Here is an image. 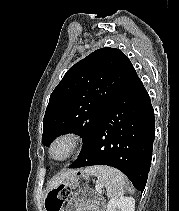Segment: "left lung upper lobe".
Wrapping results in <instances>:
<instances>
[{
    "label": "left lung upper lobe",
    "mask_w": 179,
    "mask_h": 211,
    "mask_svg": "<svg viewBox=\"0 0 179 211\" xmlns=\"http://www.w3.org/2000/svg\"><path fill=\"white\" fill-rule=\"evenodd\" d=\"M132 67L122 51L109 47L98 49L73 65L50 96L42 143L49 146L56 136L77 133L83 137L82 153Z\"/></svg>",
    "instance_id": "left-lung-upper-lobe-1"
}]
</instances>
